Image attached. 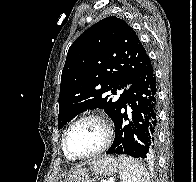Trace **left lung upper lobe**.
Segmentation results:
<instances>
[{"label":"left lung upper lobe","instance_id":"5c2ea615","mask_svg":"<svg viewBox=\"0 0 196 182\" xmlns=\"http://www.w3.org/2000/svg\"><path fill=\"white\" fill-rule=\"evenodd\" d=\"M149 62L137 34L124 20L112 16L91 26L68 50L61 76L58 129L94 108L104 109L115 124L127 93ZM126 85L129 88L117 97Z\"/></svg>","mask_w":196,"mask_h":182}]
</instances>
